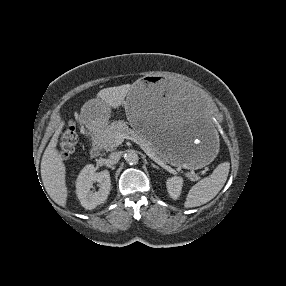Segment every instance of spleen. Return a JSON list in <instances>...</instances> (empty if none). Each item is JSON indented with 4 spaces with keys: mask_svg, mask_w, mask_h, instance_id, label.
Here are the masks:
<instances>
[{
    "mask_svg": "<svg viewBox=\"0 0 286 286\" xmlns=\"http://www.w3.org/2000/svg\"><path fill=\"white\" fill-rule=\"evenodd\" d=\"M229 169V162L219 164L209 177L201 179L189 190L184 206L193 208L212 200L224 186Z\"/></svg>",
    "mask_w": 286,
    "mask_h": 286,
    "instance_id": "spleen-1",
    "label": "spleen"
}]
</instances>
